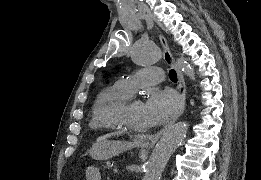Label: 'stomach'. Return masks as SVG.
<instances>
[{
  "mask_svg": "<svg viewBox=\"0 0 261 180\" xmlns=\"http://www.w3.org/2000/svg\"><path fill=\"white\" fill-rule=\"evenodd\" d=\"M133 142L100 140L93 144L89 154L90 156L99 161H106L120 153L136 147Z\"/></svg>",
  "mask_w": 261,
  "mask_h": 180,
  "instance_id": "1",
  "label": "stomach"
}]
</instances>
